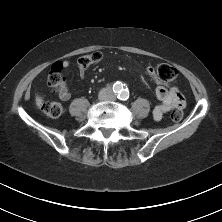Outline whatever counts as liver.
Returning <instances> with one entry per match:
<instances>
[{
  "mask_svg": "<svg viewBox=\"0 0 222 222\" xmlns=\"http://www.w3.org/2000/svg\"><path fill=\"white\" fill-rule=\"evenodd\" d=\"M43 104V99L40 96H36V105L41 106Z\"/></svg>",
  "mask_w": 222,
  "mask_h": 222,
  "instance_id": "obj_1",
  "label": "liver"
}]
</instances>
